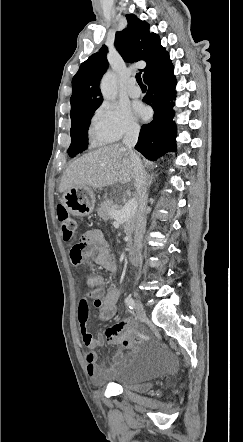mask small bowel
<instances>
[{"label": "small bowel", "instance_id": "small-bowel-1", "mask_svg": "<svg viewBox=\"0 0 243 442\" xmlns=\"http://www.w3.org/2000/svg\"><path fill=\"white\" fill-rule=\"evenodd\" d=\"M85 243L84 258L81 261L71 262L74 265H80L84 261H91L102 266L110 272L117 271V262L112 255L109 244L99 229L88 230L83 235ZM72 256V254H70ZM88 285L95 287L98 284L95 277L90 276L87 279ZM103 280L99 279L97 288L91 290L88 296L80 299L77 308V319L83 344L88 348L84 353L86 371L89 377L96 383H101L112 377L116 368L123 361L122 350H133L138 339L135 336V325L131 318L118 321L108 327L104 333L93 335L87 328V322L90 316L91 308L99 310V319L102 321L110 320L115 317L118 309L120 289L106 291L102 287ZM90 297V300H89ZM107 342L118 347L119 351L114 354L109 365L99 362L96 348H100Z\"/></svg>", "mask_w": 243, "mask_h": 442}]
</instances>
